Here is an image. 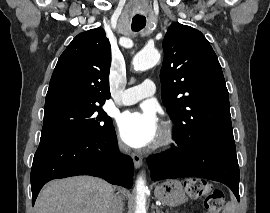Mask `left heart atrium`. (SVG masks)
Masks as SVG:
<instances>
[{
    "label": "left heart atrium",
    "mask_w": 270,
    "mask_h": 213,
    "mask_svg": "<svg viewBox=\"0 0 270 213\" xmlns=\"http://www.w3.org/2000/svg\"><path fill=\"white\" fill-rule=\"evenodd\" d=\"M119 134L123 142L134 148L152 145L159 134V120L151 107L123 113L118 120Z\"/></svg>",
    "instance_id": "left-heart-atrium-1"
}]
</instances>
